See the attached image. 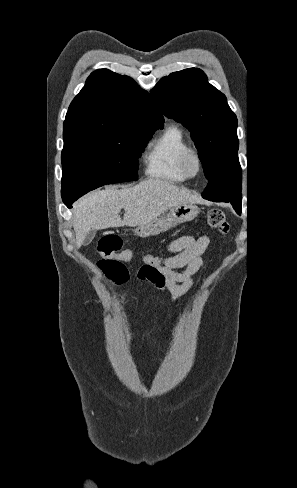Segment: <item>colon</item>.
Wrapping results in <instances>:
<instances>
[{
  "mask_svg": "<svg viewBox=\"0 0 297 488\" xmlns=\"http://www.w3.org/2000/svg\"><path fill=\"white\" fill-rule=\"evenodd\" d=\"M207 223L210 227L218 229L222 234L229 231V223L225 214L219 209H212L207 214ZM98 251L102 259L98 261L99 269L117 285L126 283L129 279L128 269L124 259H133L131 250H122L121 240L117 235H104L98 242ZM164 257L145 255L143 265L139 268L137 277L145 280L151 273L162 267Z\"/></svg>",
  "mask_w": 297,
  "mask_h": 488,
  "instance_id": "1",
  "label": "colon"
}]
</instances>
